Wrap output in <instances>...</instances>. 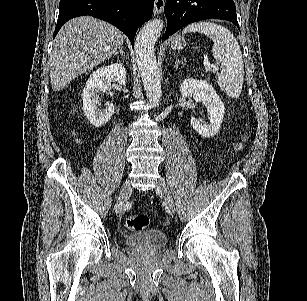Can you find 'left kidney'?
I'll list each match as a JSON object with an SVG mask.
<instances>
[{
    "label": "left kidney",
    "mask_w": 307,
    "mask_h": 301,
    "mask_svg": "<svg viewBox=\"0 0 307 301\" xmlns=\"http://www.w3.org/2000/svg\"><path fill=\"white\" fill-rule=\"evenodd\" d=\"M180 92L182 96H193L196 102H202L206 106L209 122H201L200 118H196V116H191L190 118V122L196 132H199L205 138L215 136L220 130L221 122H223L225 106L214 86L210 82H206V80L184 78L180 84Z\"/></svg>",
    "instance_id": "left-kidney-1"
}]
</instances>
